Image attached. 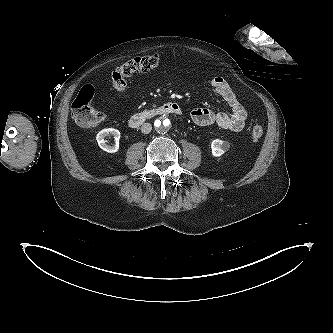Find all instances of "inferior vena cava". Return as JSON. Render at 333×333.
<instances>
[{
	"mask_svg": "<svg viewBox=\"0 0 333 333\" xmlns=\"http://www.w3.org/2000/svg\"><path fill=\"white\" fill-rule=\"evenodd\" d=\"M152 130V125L150 123H144L141 126V132L144 134H149Z\"/></svg>",
	"mask_w": 333,
	"mask_h": 333,
	"instance_id": "1",
	"label": "inferior vena cava"
}]
</instances>
